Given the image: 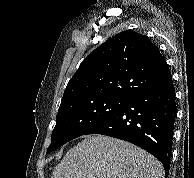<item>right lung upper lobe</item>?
<instances>
[{"label": "right lung upper lobe", "instance_id": "cb5924a9", "mask_svg": "<svg viewBox=\"0 0 194 178\" xmlns=\"http://www.w3.org/2000/svg\"><path fill=\"white\" fill-rule=\"evenodd\" d=\"M170 79L171 72L159 48L147 36L123 31L83 60L67 84L60 107L90 97L128 100Z\"/></svg>", "mask_w": 194, "mask_h": 178}]
</instances>
